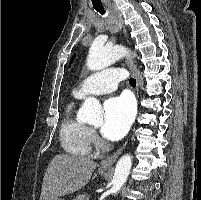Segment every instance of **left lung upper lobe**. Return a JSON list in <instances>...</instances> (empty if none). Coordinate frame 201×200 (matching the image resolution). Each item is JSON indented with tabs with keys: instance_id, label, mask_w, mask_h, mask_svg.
Masks as SVG:
<instances>
[{
	"instance_id": "obj_1",
	"label": "left lung upper lobe",
	"mask_w": 201,
	"mask_h": 200,
	"mask_svg": "<svg viewBox=\"0 0 201 200\" xmlns=\"http://www.w3.org/2000/svg\"><path fill=\"white\" fill-rule=\"evenodd\" d=\"M74 57H75V55H73V57L71 58L69 65H71V63L73 62Z\"/></svg>"
}]
</instances>
